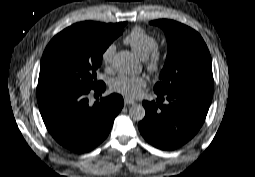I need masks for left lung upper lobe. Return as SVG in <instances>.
I'll return each mask as SVG.
<instances>
[{
    "mask_svg": "<svg viewBox=\"0 0 255 177\" xmlns=\"http://www.w3.org/2000/svg\"><path fill=\"white\" fill-rule=\"evenodd\" d=\"M161 27L167 37L168 53L154 91L166 94L183 87L213 86L212 64L208 48L193 29L172 20L150 22Z\"/></svg>",
    "mask_w": 255,
    "mask_h": 177,
    "instance_id": "5c2ea615",
    "label": "left lung upper lobe"
}]
</instances>
